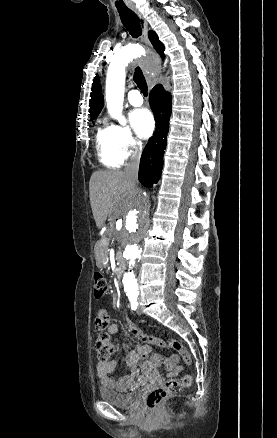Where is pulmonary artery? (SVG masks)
I'll use <instances>...</instances> for the list:
<instances>
[{"mask_svg": "<svg viewBox=\"0 0 277 438\" xmlns=\"http://www.w3.org/2000/svg\"><path fill=\"white\" fill-rule=\"evenodd\" d=\"M107 79V78H106ZM143 88L142 87H131L130 91L128 93V100L131 103V105L135 107H139L143 105V98L140 97L143 95ZM117 95V94H115ZM114 95V96H115Z\"/></svg>", "mask_w": 277, "mask_h": 438, "instance_id": "obj_1", "label": "pulmonary artery"}]
</instances>
